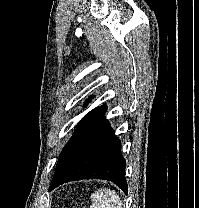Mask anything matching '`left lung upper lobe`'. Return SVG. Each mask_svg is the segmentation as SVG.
Returning a JSON list of instances; mask_svg holds the SVG:
<instances>
[{"instance_id":"1","label":"left lung upper lobe","mask_w":199,"mask_h":208,"mask_svg":"<svg viewBox=\"0 0 199 208\" xmlns=\"http://www.w3.org/2000/svg\"><path fill=\"white\" fill-rule=\"evenodd\" d=\"M97 109H94L92 111H90L83 119L82 121L86 120L92 113H94Z\"/></svg>"}]
</instances>
